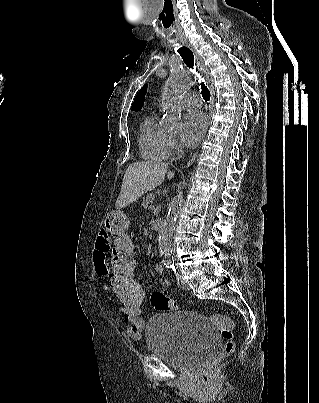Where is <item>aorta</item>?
<instances>
[{
  "instance_id": "762f6f07",
  "label": "aorta",
  "mask_w": 319,
  "mask_h": 403,
  "mask_svg": "<svg viewBox=\"0 0 319 403\" xmlns=\"http://www.w3.org/2000/svg\"><path fill=\"white\" fill-rule=\"evenodd\" d=\"M194 82L193 77L182 69L173 70L164 86L162 108L164 119L170 126H177L181 120V108L178 99ZM183 202L180 192L169 204L168 214L159 233V249L162 257L172 254L171 238L176 227L177 217Z\"/></svg>"
}]
</instances>
